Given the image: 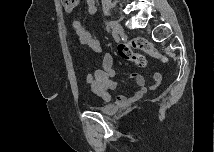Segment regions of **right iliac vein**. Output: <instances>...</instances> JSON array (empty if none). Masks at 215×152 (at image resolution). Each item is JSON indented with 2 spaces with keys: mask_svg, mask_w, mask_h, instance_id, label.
<instances>
[{
  "mask_svg": "<svg viewBox=\"0 0 215 152\" xmlns=\"http://www.w3.org/2000/svg\"><path fill=\"white\" fill-rule=\"evenodd\" d=\"M107 24L113 30V32L115 34H117V36H123L124 35V30H123L122 26L117 21L108 20Z\"/></svg>",
  "mask_w": 215,
  "mask_h": 152,
  "instance_id": "obj_1",
  "label": "right iliac vein"
}]
</instances>
